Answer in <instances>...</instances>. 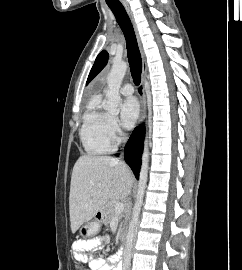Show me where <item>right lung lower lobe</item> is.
<instances>
[{
  "label": "right lung lower lobe",
  "mask_w": 242,
  "mask_h": 270,
  "mask_svg": "<svg viewBox=\"0 0 242 270\" xmlns=\"http://www.w3.org/2000/svg\"><path fill=\"white\" fill-rule=\"evenodd\" d=\"M144 126L137 127L131 134L125 147V161L132 168L135 177L139 178L141 154L143 152Z\"/></svg>",
  "instance_id": "1"
}]
</instances>
